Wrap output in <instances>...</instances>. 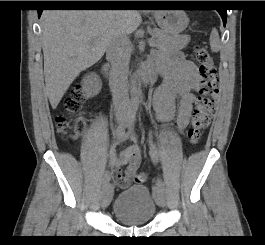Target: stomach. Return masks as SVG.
<instances>
[{
	"instance_id": "0dacf381",
	"label": "stomach",
	"mask_w": 265,
	"mask_h": 245,
	"mask_svg": "<svg viewBox=\"0 0 265 245\" xmlns=\"http://www.w3.org/2000/svg\"><path fill=\"white\" fill-rule=\"evenodd\" d=\"M158 26L170 35H178L186 29L189 18L182 10H160L154 13Z\"/></svg>"
}]
</instances>
